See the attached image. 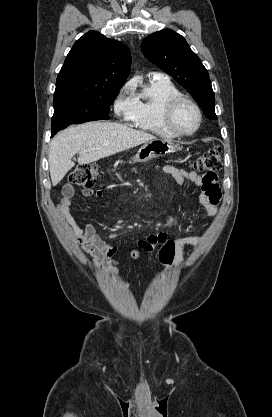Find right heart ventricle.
I'll return each instance as SVG.
<instances>
[{
  "label": "right heart ventricle",
  "instance_id": "right-heart-ventricle-1",
  "mask_svg": "<svg viewBox=\"0 0 272 417\" xmlns=\"http://www.w3.org/2000/svg\"><path fill=\"white\" fill-rule=\"evenodd\" d=\"M179 89L166 77H151L133 97L134 108L128 120L131 126L164 138L175 137L163 123V109Z\"/></svg>",
  "mask_w": 272,
  "mask_h": 417
}]
</instances>
